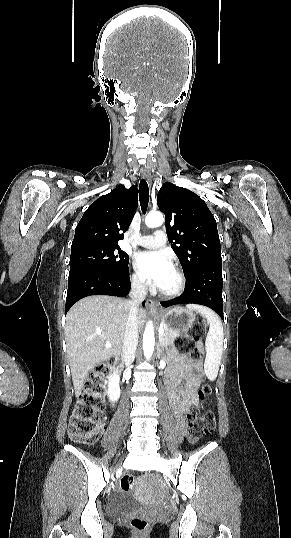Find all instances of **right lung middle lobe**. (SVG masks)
Here are the masks:
<instances>
[{"label":"right lung middle lobe","mask_w":291,"mask_h":538,"mask_svg":"<svg viewBox=\"0 0 291 538\" xmlns=\"http://www.w3.org/2000/svg\"><path fill=\"white\" fill-rule=\"evenodd\" d=\"M129 256L119 246L90 245L71 250L70 273L81 269L123 271Z\"/></svg>","instance_id":"right-lung-middle-lobe-1"}]
</instances>
